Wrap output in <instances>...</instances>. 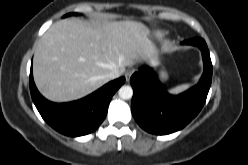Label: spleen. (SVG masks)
<instances>
[{"label":"spleen","mask_w":248,"mask_h":165,"mask_svg":"<svg viewBox=\"0 0 248 165\" xmlns=\"http://www.w3.org/2000/svg\"><path fill=\"white\" fill-rule=\"evenodd\" d=\"M190 86H191L190 84L179 85V86H177V87H175L173 89H170L169 93H171V94H179V93L187 90L188 88H190Z\"/></svg>","instance_id":"obj_1"}]
</instances>
